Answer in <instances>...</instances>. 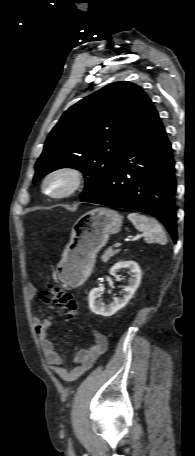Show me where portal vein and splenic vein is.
Wrapping results in <instances>:
<instances>
[{
  "label": "portal vein and splenic vein",
  "instance_id": "18ae733b",
  "mask_svg": "<svg viewBox=\"0 0 195 456\" xmlns=\"http://www.w3.org/2000/svg\"><path fill=\"white\" fill-rule=\"evenodd\" d=\"M121 245H122V243H121V242H118V243H115V244H114V247H119V246H121Z\"/></svg>",
  "mask_w": 195,
  "mask_h": 456
}]
</instances>
